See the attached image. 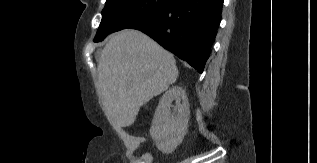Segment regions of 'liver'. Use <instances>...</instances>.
<instances>
[{
	"label": "liver",
	"instance_id": "liver-1",
	"mask_svg": "<svg viewBox=\"0 0 317 163\" xmlns=\"http://www.w3.org/2000/svg\"><path fill=\"white\" fill-rule=\"evenodd\" d=\"M178 74L173 55L144 33L113 34L99 57L96 83L110 124L132 125L140 107L166 91Z\"/></svg>",
	"mask_w": 317,
	"mask_h": 163
}]
</instances>
